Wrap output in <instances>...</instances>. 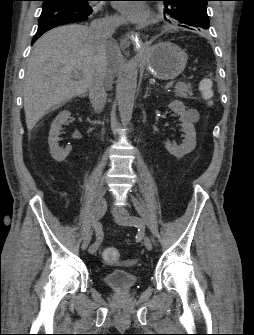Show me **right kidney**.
Segmentation results:
<instances>
[{
	"label": "right kidney",
	"instance_id": "right-kidney-1",
	"mask_svg": "<svg viewBox=\"0 0 254 335\" xmlns=\"http://www.w3.org/2000/svg\"><path fill=\"white\" fill-rule=\"evenodd\" d=\"M70 115H71L70 112L62 111L57 115V117L51 124V129L48 137V144L50 147V154L53 157V159L57 162L64 161L65 158L69 155L70 151L72 150V147L70 145H68L65 149H63L60 148L58 144L59 141L58 136L60 135L62 125H64L67 122Z\"/></svg>",
	"mask_w": 254,
	"mask_h": 335
}]
</instances>
